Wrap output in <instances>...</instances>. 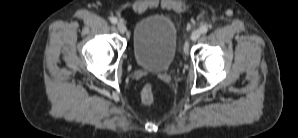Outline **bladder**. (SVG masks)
Wrapping results in <instances>:
<instances>
[{
    "label": "bladder",
    "mask_w": 298,
    "mask_h": 138,
    "mask_svg": "<svg viewBox=\"0 0 298 138\" xmlns=\"http://www.w3.org/2000/svg\"><path fill=\"white\" fill-rule=\"evenodd\" d=\"M177 38V27L168 16L154 14L140 19L132 38L135 62L147 70H167L176 55Z\"/></svg>",
    "instance_id": "bladder-1"
}]
</instances>
